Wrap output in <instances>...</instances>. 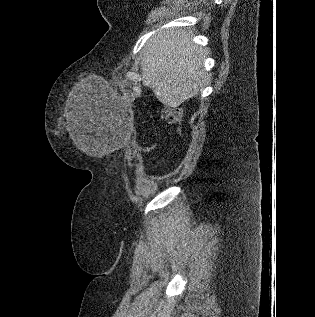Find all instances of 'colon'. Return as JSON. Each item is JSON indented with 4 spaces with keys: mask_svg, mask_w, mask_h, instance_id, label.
Masks as SVG:
<instances>
[{
    "mask_svg": "<svg viewBox=\"0 0 315 317\" xmlns=\"http://www.w3.org/2000/svg\"><path fill=\"white\" fill-rule=\"evenodd\" d=\"M162 118L167 123H179L182 119V112L180 109H166L162 112ZM152 147H134L131 149V155L134 156L141 151H150Z\"/></svg>",
    "mask_w": 315,
    "mask_h": 317,
    "instance_id": "obj_1",
    "label": "colon"
}]
</instances>
